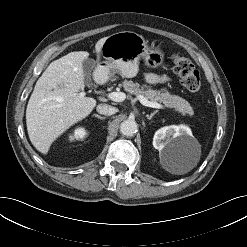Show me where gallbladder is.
I'll list each match as a JSON object with an SVG mask.
<instances>
[{"mask_svg": "<svg viewBox=\"0 0 247 247\" xmlns=\"http://www.w3.org/2000/svg\"><path fill=\"white\" fill-rule=\"evenodd\" d=\"M94 67V61L92 59H85L83 62V70L85 75H88ZM86 82L90 83V78L87 76Z\"/></svg>", "mask_w": 247, "mask_h": 247, "instance_id": "obj_1", "label": "gallbladder"}]
</instances>
